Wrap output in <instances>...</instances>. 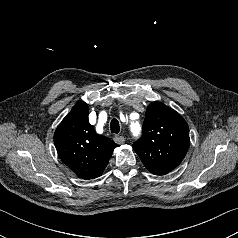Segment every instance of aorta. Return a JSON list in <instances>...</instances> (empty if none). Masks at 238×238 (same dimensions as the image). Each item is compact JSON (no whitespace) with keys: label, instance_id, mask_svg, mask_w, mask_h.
<instances>
[{"label":"aorta","instance_id":"1","mask_svg":"<svg viewBox=\"0 0 238 238\" xmlns=\"http://www.w3.org/2000/svg\"><path fill=\"white\" fill-rule=\"evenodd\" d=\"M131 132L133 134V136L137 137L139 136L140 132H141V125L138 121H136L134 118H133V115H131Z\"/></svg>","mask_w":238,"mask_h":238}]
</instances>
